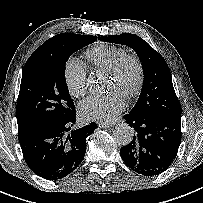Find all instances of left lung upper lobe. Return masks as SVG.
Masks as SVG:
<instances>
[{"instance_id":"left-lung-upper-lobe-1","label":"left lung upper lobe","mask_w":203,"mask_h":203,"mask_svg":"<svg viewBox=\"0 0 203 203\" xmlns=\"http://www.w3.org/2000/svg\"><path fill=\"white\" fill-rule=\"evenodd\" d=\"M99 40L129 46L142 62L143 86L130 113L148 117L181 115L182 109L173 87L170 69L164 58L145 40L128 33L104 36Z\"/></svg>"}]
</instances>
